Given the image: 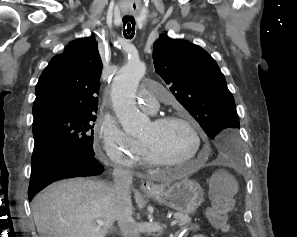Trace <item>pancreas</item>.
Listing matches in <instances>:
<instances>
[{"mask_svg":"<svg viewBox=\"0 0 297 237\" xmlns=\"http://www.w3.org/2000/svg\"><path fill=\"white\" fill-rule=\"evenodd\" d=\"M173 217L178 220L179 226H183L191 222V218L187 214L177 212Z\"/></svg>","mask_w":297,"mask_h":237,"instance_id":"cf45deb5","label":"pancreas"}]
</instances>
